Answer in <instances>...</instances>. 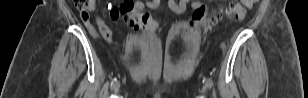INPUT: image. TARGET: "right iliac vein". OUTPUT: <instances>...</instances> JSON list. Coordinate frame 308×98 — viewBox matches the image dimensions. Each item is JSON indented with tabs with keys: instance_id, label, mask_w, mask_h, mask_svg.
<instances>
[{
	"instance_id": "1",
	"label": "right iliac vein",
	"mask_w": 308,
	"mask_h": 98,
	"mask_svg": "<svg viewBox=\"0 0 308 98\" xmlns=\"http://www.w3.org/2000/svg\"><path fill=\"white\" fill-rule=\"evenodd\" d=\"M118 89H119V85H118V83H117V84L112 88V90H114L115 92H117Z\"/></svg>"
}]
</instances>
